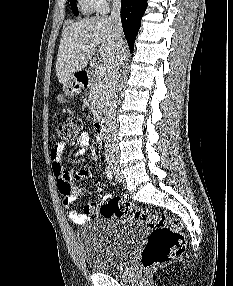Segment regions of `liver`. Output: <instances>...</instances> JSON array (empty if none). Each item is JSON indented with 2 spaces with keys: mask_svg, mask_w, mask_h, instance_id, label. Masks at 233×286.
<instances>
[{
  "mask_svg": "<svg viewBox=\"0 0 233 286\" xmlns=\"http://www.w3.org/2000/svg\"><path fill=\"white\" fill-rule=\"evenodd\" d=\"M117 40V28L108 17L85 18L68 25L62 33L57 55L56 75L59 82L64 83L72 73L85 68L97 45H101V60L108 70L115 58ZM82 46L92 48L82 51Z\"/></svg>",
  "mask_w": 233,
  "mask_h": 286,
  "instance_id": "1",
  "label": "liver"
}]
</instances>
